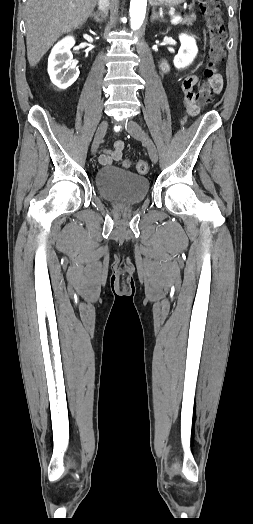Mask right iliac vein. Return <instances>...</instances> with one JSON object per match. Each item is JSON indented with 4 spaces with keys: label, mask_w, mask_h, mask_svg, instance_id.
I'll return each mask as SVG.
<instances>
[{
    "label": "right iliac vein",
    "mask_w": 253,
    "mask_h": 524,
    "mask_svg": "<svg viewBox=\"0 0 253 524\" xmlns=\"http://www.w3.org/2000/svg\"><path fill=\"white\" fill-rule=\"evenodd\" d=\"M107 127H108V122L107 121H102L101 124L99 125V127H98V129L96 131L93 143H92V153L93 154L99 148V145L102 142V140H103V138H104V136L106 134Z\"/></svg>",
    "instance_id": "obj_1"
}]
</instances>
